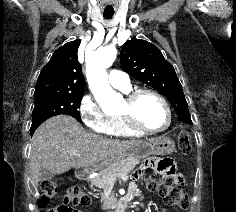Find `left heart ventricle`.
Instances as JSON below:
<instances>
[{
	"label": "left heart ventricle",
	"instance_id": "b2bd125f",
	"mask_svg": "<svg viewBox=\"0 0 236 212\" xmlns=\"http://www.w3.org/2000/svg\"><path fill=\"white\" fill-rule=\"evenodd\" d=\"M123 107L124 103L122 109ZM137 116L141 125L149 129L162 128L168 120L164 105L151 95H144L139 99L137 104Z\"/></svg>",
	"mask_w": 236,
	"mask_h": 212
}]
</instances>
